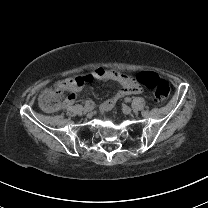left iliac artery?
Masks as SVG:
<instances>
[{
	"label": "left iliac artery",
	"mask_w": 208,
	"mask_h": 208,
	"mask_svg": "<svg viewBox=\"0 0 208 208\" xmlns=\"http://www.w3.org/2000/svg\"><path fill=\"white\" fill-rule=\"evenodd\" d=\"M125 102H131V98L126 97V98H125Z\"/></svg>",
	"instance_id": "left-iliac-artery-1"
}]
</instances>
